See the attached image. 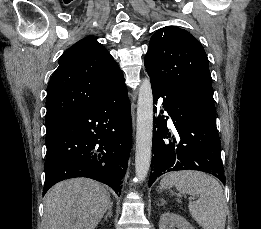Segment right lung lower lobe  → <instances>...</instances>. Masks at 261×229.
Listing matches in <instances>:
<instances>
[{
	"instance_id": "obj_1",
	"label": "right lung lower lobe",
	"mask_w": 261,
	"mask_h": 229,
	"mask_svg": "<svg viewBox=\"0 0 261 229\" xmlns=\"http://www.w3.org/2000/svg\"><path fill=\"white\" fill-rule=\"evenodd\" d=\"M127 87L122 82L101 100L46 134L43 195L57 182L87 177L118 195L132 145Z\"/></svg>"
}]
</instances>
